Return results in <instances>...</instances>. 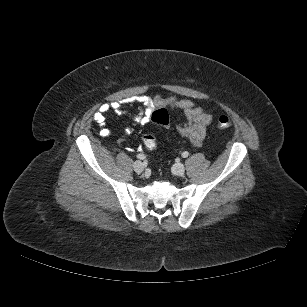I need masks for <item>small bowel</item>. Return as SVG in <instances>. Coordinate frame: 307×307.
<instances>
[{"mask_svg": "<svg viewBox=\"0 0 307 307\" xmlns=\"http://www.w3.org/2000/svg\"><path fill=\"white\" fill-rule=\"evenodd\" d=\"M129 105L139 106L138 113L131 117L141 125H146L150 121L151 115L156 108L171 107L181 111L184 114L185 121L178 124L176 129L182 137L196 146H200L204 141L207 128L213 120L210 114L190 99H180L174 95L167 97L141 95L130 101L105 103L98 108L93 114V120L100 126V135L102 137L107 138L110 136V130L106 126V114L109 111H113L118 115H129L125 110V107ZM125 133L131 134L132 129L126 127Z\"/></svg>", "mask_w": 307, "mask_h": 307, "instance_id": "1", "label": "small bowel"}]
</instances>
